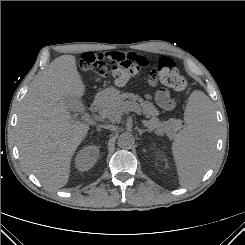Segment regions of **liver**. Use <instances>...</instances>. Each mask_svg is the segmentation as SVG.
<instances>
[{
	"label": "liver",
	"mask_w": 245,
	"mask_h": 245,
	"mask_svg": "<svg viewBox=\"0 0 245 245\" xmlns=\"http://www.w3.org/2000/svg\"><path fill=\"white\" fill-rule=\"evenodd\" d=\"M85 85L73 55L56 58L34 82L21 104L16 140L21 163L49 188H62L69 179L71 159L89 130L75 121L65 105L81 98Z\"/></svg>",
	"instance_id": "6515ba94"
}]
</instances>
